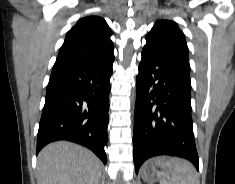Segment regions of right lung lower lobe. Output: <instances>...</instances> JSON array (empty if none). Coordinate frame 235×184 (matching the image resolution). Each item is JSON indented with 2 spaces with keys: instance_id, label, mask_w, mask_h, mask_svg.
<instances>
[{
  "instance_id": "98d812e1",
  "label": "right lung lower lobe",
  "mask_w": 235,
  "mask_h": 184,
  "mask_svg": "<svg viewBox=\"0 0 235 184\" xmlns=\"http://www.w3.org/2000/svg\"><path fill=\"white\" fill-rule=\"evenodd\" d=\"M114 59L59 62L52 69L37 135L36 154L48 143L68 140L92 150L105 164L110 77Z\"/></svg>"
}]
</instances>
